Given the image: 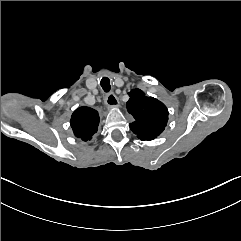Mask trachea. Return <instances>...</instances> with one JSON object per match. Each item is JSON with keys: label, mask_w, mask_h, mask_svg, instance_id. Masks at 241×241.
I'll list each match as a JSON object with an SVG mask.
<instances>
[{"label": "trachea", "mask_w": 241, "mask_h": 241, "mask_svg": "<svg viewBox=\"0 0 241 241\" xmlns=\"http://www.w3.org/2000/svg\"><path fill=\"white\" fill-rule=\"evenodd\" d=\"M101 86L103 87L104 91L108 93L111 89L110 80L107 77L102 78Z\"/></svg>", "instance_id": "3493384b"}]
</instances>
